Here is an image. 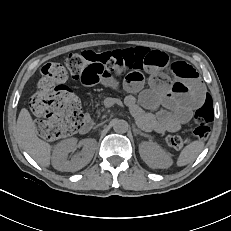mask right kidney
Listing matches in <instances>:
<instances>
[{
  "instance_id": "1",
  "label": "right kidney",
  "mask_w": 231,
  "mask_h": 231,
  "mask_svg": "<svg viewBox=\"0 0 231 231\" xmlns=\"http://www.w3.org/2000/svg\"><path fill=\"white\" fill-rule=\"evenodd\" d=\"M83 149L81 153L71 160L67 159L70 152L74 151L77 145L76 138H69L55 145L52 155V165L59 171L73 172L85 167L93 158L96 140L86 138L79 142Z\"/></svg>"
}]
</instances>
